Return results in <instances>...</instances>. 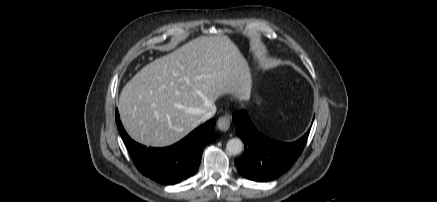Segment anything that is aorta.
I'll return each mask as SVG.
<instances>
[{
    "label": "aorta",
    "mask_w": 437,
    "mask_h": 202,
    "mask_svg": "<svg viewBox=\"0 0 437 202\" xmlns=\"http://www.w3.org/2000/svg\"><path fill=\"white\" fill-rule=\"evenodd\" d=\"M226 149L232 155L240 154L243 149V143L238 138H232L227 142Z\"/></svg>",
    "instance_id": "obj_1"
}]
</instances>
